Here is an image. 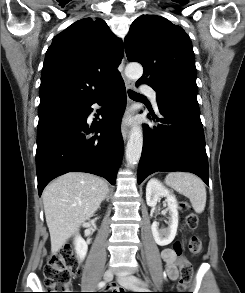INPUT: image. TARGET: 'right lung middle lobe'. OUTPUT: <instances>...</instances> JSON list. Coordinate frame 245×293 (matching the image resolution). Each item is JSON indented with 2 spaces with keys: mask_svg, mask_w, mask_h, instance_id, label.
Wrapping results in <instances>:
<instances>
[{
  "mask_svg": "<svg viewBox=\"0 0 245 293\" xmlns=\"http://www.w3.org/2000/svg\"><path fill=\"white\" fill-rule=\"evenodd\" d=\"M76 107L77 105H55V106H49L45 108H39L38 109V115H39L38 126H42L46 124L47 122H49L50 120L70 112L72 109Z\"/></svg>",
  "mask_w": 245,
  "mask_h": 293,
  "instance_id": "right-lung-middle-lobe-1",
  "label": "right lung middle lobe"
}]
</instances>
